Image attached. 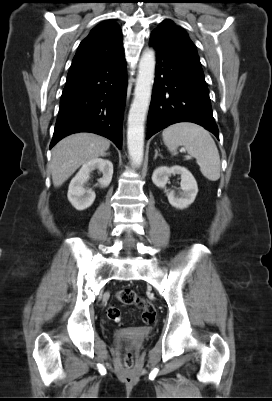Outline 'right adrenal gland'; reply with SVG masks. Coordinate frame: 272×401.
Masks as SVG:
<instances>
[{"instance_id": "right-adrenal-gland-1", "label": "right adrenal gland", "mask_w": 272, "mask_h": 401, "mask_svg": "<svg viewBox=\"0 0 272 401\" xmlns=\"http://www.w3.org/2000/svg\"><path fill=\"white\" fill-rule=\"evenodd\" d=\"M105 155H110V153H106Z\"/></svg>"}]
</instances>
